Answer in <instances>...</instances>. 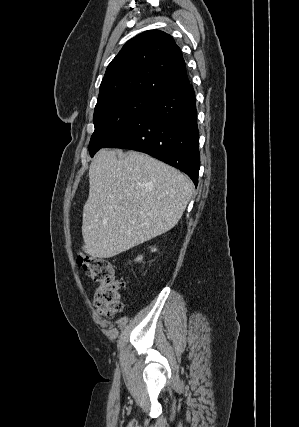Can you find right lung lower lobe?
Masks as SVG:
<instances>
[{
	"mask_svg": "<svg viewBox=\"0 0 299 427\" xmlns=\"http://www.w3.org/2000/svg\"><path fill=\"white\" fill-rule=\"evenodd\" d=\"M195 93L191 84L156 99L105 147L147 153L186 173L198 184L200 154Z\"/></svg>",
	"mask_w": 299,
	"mask_h": 427,
	"instance_id": "98d812e1",
	"label": "right lung lower lobe"
}]
</instances>
